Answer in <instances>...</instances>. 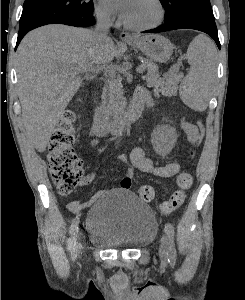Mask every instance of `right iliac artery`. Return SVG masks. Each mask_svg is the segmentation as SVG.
I'll return each instance as SVG.
<instances>
[{"mask_svg":"<svg viewBox=\"0 0 245 300\" xmlns=\"http://www.w3.org/2000/svg\"><path fill=\"white\" fill-rule=\"evenodd\" d=\"M78 224H79V217L76 216L72 220L71 226L69 228L70 237L68 239V250L71 252L73 257H76L77 249H76V240H77V233H78Z\"/></svg>","mask_w":245,"mask_h":300,"instance_id":"1","label":"right iliac artery"}]
</instances>
